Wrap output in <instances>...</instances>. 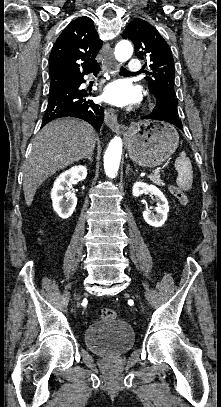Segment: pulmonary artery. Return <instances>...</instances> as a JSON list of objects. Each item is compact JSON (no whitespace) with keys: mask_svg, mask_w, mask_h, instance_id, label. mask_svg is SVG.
Segmentation results:
<instances>
[{"mask_svg":"<svg viewBox=\"0 0 221 407\" xmlns=\"http://www.w3.org/2000/svg\"><path fill=\"white\" fill-rule=\"evenodd\" d=\"M128 69H129L130 72H133V73H136V74L140 73L141 72V63H140V61L137 60V59L131 60L129 62V64H128Z\"/></svg>","mask_w":221,"mask_h":407,"instance_id":"pulmonary-artery-1","label":"pulmonary artery"}]
</instances>
